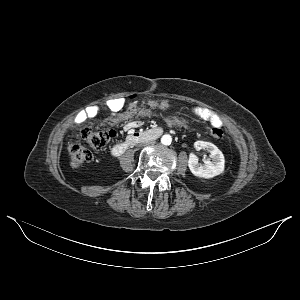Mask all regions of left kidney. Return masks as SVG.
I'll list each match as a JSON object with an SVG mask.
<instances>
[{
  "mask_svg": "<svg viewBox=\"0 0 300 300\" xmlns=\"http://www.w3.org/2000/svg\"><path fill=\"white\" fill-rule=\"evenodd\" d=\"M195 148H202L210 153V159H206L203 164H199L195 154L189 155L188 166L193 175L200 178H213L224 171V155L223 153L210 142L197 141L194 143Z\"/></svg>",
  "mask_w": 300,
  "mask_h": 300,
  "instance_id": "left-kidney-1",
  "label": "left kidney"
}]
</instances>
